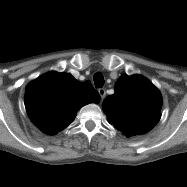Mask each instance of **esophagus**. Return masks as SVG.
Instances as JSON below:
<instances>
[{
  "label": "esophagus",
  "instance_id": "esophagus-1",
  "mask_svg": "<svg viewBox=\"0 0 187 187\" xmlns=\"http://www.w3.org/2000/svg\"><path fill=\"white\" fill-rule=\"evenodd\" d=\"M98 93H99L101 99L103 100L105 98V95H106V90L104 88H99Z\"/></svg>",
  "mask_w": 187,
  "mask_h": 187
}]
</instances>
